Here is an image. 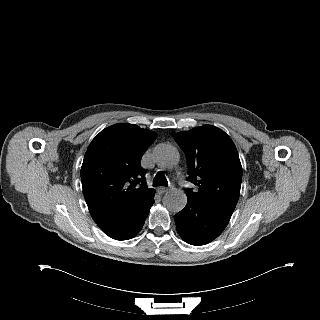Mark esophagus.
<instances>
[{"instance_id": "34e87169", "label": "esophagus", "mask_w": 320, "mask_h": 320, "mask_svg": "<svg viewBox=\"0 0 320 320\" xmlns=\"http://www.w3.org/2000/svg\"><path fill=\"white\" fill-rule=\"evenodd\" d=\"M159 190L161 191V193H165V192H168L170 190V188H168V187H160Z\"/></svg>"}]
</instances>
